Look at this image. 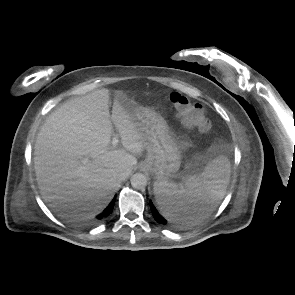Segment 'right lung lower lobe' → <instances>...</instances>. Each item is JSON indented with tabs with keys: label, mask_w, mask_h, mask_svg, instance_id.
Wrapping results in <instances>:
<instances>
[{
	"label": "right lung lower lobe",
	"mask_w": 295,
	"mask_h": 295,
	"mask_svg": "<svg viewBox=\"0 0 295 295\" xmlns=\"http://www.w3.org/2000/svg\"><path fill=\"white\" fill-rule=\"evenodd\" d=\"M113 206H114V200L109 204V206L104 210V212L101 213V214L97 217V219H98V220H101V219L107 217V216L112 212Z\"/></svg>",
	"instance_id": "98d812e1"
}]
</instances>
